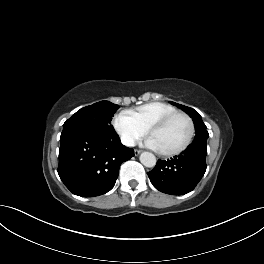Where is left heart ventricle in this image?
I'll return each mask as SVG.
<instances>
[{"label": "left heart ventricle", "mask_w": 264, "mask_h": 264, "mask_svg": "<svg viewBox=\"0 0 264 264\" xmlns=\"http://www.w3.org/2000/svg\"><path fill=\"white\" fill-rule=\"evenodd\" d=\"M188 133L187 121L182 117H177L151 137L156 141L159 150L168 151L180 146L186 140Z\"/></svg>", "instance_id": "left-heart-ventricle-1"}]
</instances>
